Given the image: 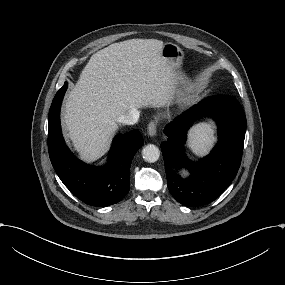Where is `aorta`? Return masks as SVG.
<instances>
[{
    "instance_id": "obj_1",
    "label": "aorta",
    "mask_w": 285,
    "mask_h": 285,
    "mask_svg": "<svg viewBox=\"0 0 285 285\" xmlns=\"http://www.w3.org/2000/svg\"><path fill=\"white\" fill-rule=\"evenodd\" d=\"M142 155L146 162L154 163L160 157V150L157 146L148 144L143 148Z\"/></svg>"
}]
</instances>
